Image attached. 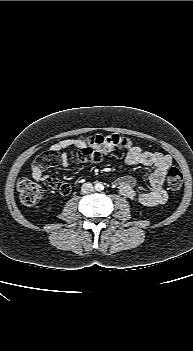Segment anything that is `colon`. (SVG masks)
Here are the masks:
<instances>
[{"label":"colon","instance_id":"1","mask_svg":"<svg viewBox=\"0 0 193 351\" xmlns=\"http://www.w3.org/2000/svg\"><path fill=\"white\" fill-rule=\"evenodd\" d=\"M102 142V138L99 136H91L87 138L84 141L85 145L76 154V161L78 163L99 162L102 156L98 147ZM59 161L60 158L57 152H45L34 161L32 172L43 173L45 169L56 166ZM167 183L169 188L173 190H177L182 186L183 175L178 168L171 167L168 170ZM49 184L53 189L59 191L63 195L70 193V186L60 180L51 179ZM17 189L21 201L27 205L34 204L42 194V187L28 178H21L18 181Z\"/></svg>","mask_w":193,"mask_h":351}]
</instances>
